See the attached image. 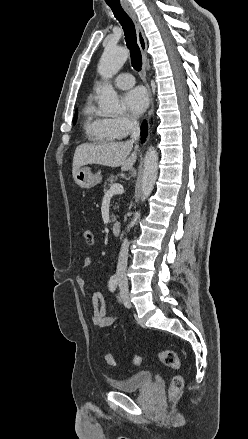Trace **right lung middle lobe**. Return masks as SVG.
Masks as SVG:
<instances>
[{"instance_id":"right-lung-middle-lobe-1","label":"right lung middle lobe","mask_w":248,"mask_h":439,"mask_svg":"<svg viewBox=\"0 0 248 439\" xmlns=\"http://www.w3.org/2000/svg\"><path fill=\"white\" fill-rule=\"evenodd\" d=\"M76 121H77V111L75 112V116H74V118H73V124H75Z\"/></svg>"}]
</instances>
